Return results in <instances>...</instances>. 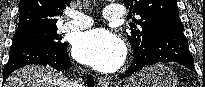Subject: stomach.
I'll return each instance as SVG.
<instances>
[{
	"mask_svg": "<svg viewBox=\"0 0 205 87\" xmlns=\"http://www.w3.org/2000/svg\"><path fill=\"white\" fill-rule=\"evenodd\" d=\"M179 78L170 68L156 64L134 74L125 87H180Z\"/></svg>",
	"mask_w": 205,
	"mask_h": 87,
	"instance_id": "1",
	"label": "stomach"
}]
</instances>
